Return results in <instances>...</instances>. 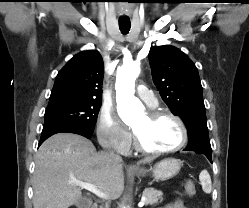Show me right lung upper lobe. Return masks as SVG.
<instances>
[{
    "mask_svg": "<svg viewBox=\"0 0 249 208\" xmlns=\"http://www.w3.org/2000/svg\"><path fill=\"white\" fill-rule=\"evenodd\" d=\"M104 63L95 50L74 56L58 73L48 107L67 102L102 101Z\"/></svg>",
    "mask_w": 249,
    "mask_h": 208,
    "instance_id": "1",
    "label": "right lung upper lobe"
}]
</instances>
